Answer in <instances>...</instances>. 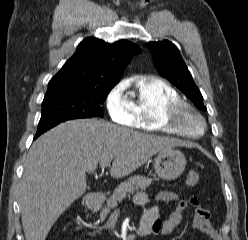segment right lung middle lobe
<instances>
[{"mask_svg":"<svg viewBox=\"0 0 248 240\" xmlns=\"http://www.w3.org/2000/svg\"><path fill=\"white\" fill-rule=\"evenodd\" d=\"M110 89L61 88L47 91L42 103L39 125L70 119L103 117L101 104Z\"/></svg>","mask_w":248,"mask_h":240,"instance_id":"obj_1","label":"right lung middle lobe"}]
</instances>
